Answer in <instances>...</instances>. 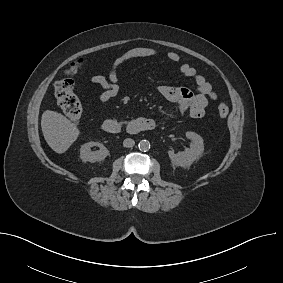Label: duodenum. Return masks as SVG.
Here are the masks:
<instances>
[{
  "label": "duodenum",
  "mask_w": 283,
  "mask_h": 283,
  "mask_svg": "<svg viewBox=\"0 0 283 283\" xmlns=\"http://www.w3.org/2000/svg\"><path fill=\"white\" fill-rule=\"evenodd\" d=\"M102 128L105 132L109 134H118L122 131V124L116 119H106ZM155 128V122L152 119L139 117L129 121L127 124V131L131 134H137L144 131H150Z\"/></svg>",
  "instance_id": "obj_1"
}]
</instances>
